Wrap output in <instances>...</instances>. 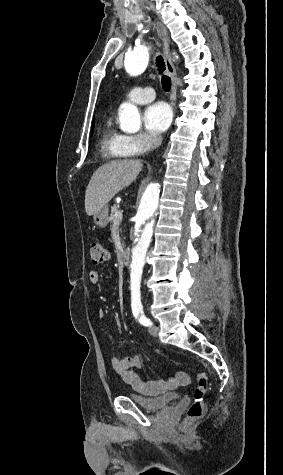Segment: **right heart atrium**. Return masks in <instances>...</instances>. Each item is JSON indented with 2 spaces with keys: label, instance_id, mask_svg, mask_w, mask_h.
I'll return each mask as SVG.
<instances>
[{
  "label": "right heart atrium",
  "instance_id": "1",
  "mask_svg": "<svg viewBox=\"0 0 283 475\" xmlns=\"http://www.w3.org/2000/svg\"><path fill=\"white\" fill-rule=\"evenodd\" d=\"M158 139L149 134L122 135L118 146L123 156L134 158L135 155H146L158 146Z\"/></svg>",
  "mask_w": 283,
  "mask_h": 475
}]
</instances>
